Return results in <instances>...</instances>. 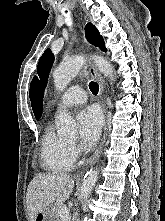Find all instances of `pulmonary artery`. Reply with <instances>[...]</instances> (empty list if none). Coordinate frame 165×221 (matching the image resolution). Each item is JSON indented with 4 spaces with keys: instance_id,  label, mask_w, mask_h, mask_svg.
I'll list each match as a JSON object with an SVG mask.
<instances>
[{
    "instance_id": "pulmonary-artery-1",
    "label": "pulmonary artery",
    "mask_w": 165,
    "mask_h": 221,
    "mask_svg": "<svg viewBox=\"0 0 165 221\" xmlns=\"http://www.w3.org/2000/svg\"><path fill=\"white\" fill-rule=\"evenodd\" d=\"M86 101V94L82 86L73 85L61 96L59 105L61 107H71L83 104Z\"/></svg>"
}]
</instances>
